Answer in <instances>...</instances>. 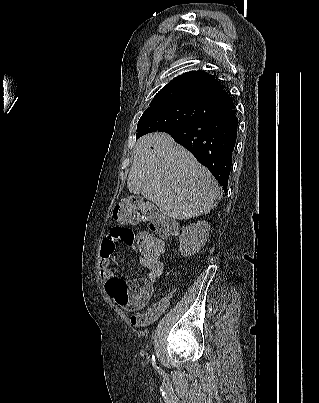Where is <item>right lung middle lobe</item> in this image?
Masks as SVG:
<instances>
[{
  "mask_svg": "<svg viewBox=\"0 0 319 403\" xmlns=\"http://www.w3.org/2000/svg\"><path fill=\"white\" fill-rule=\"evenodd\" d=\"M210 113L208 108L188 102L150 105L138 122L136 139L166 127L188 124Z\"/></svg>",
  "mask_w": 319,
  "mask_h": 403,
  "instance_id": "right-lung-middle-lobe-1",
  "label": "right lung middle lobe"
}]
</instances>
